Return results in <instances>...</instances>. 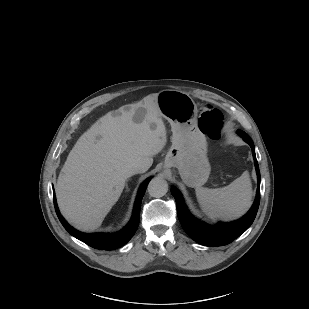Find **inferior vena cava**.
I'll use <instances>...</instances> for the list:
<instances>
[{
  "label": "inferior vena cava",
  "mask_w": 309,
  "mask_h": 309,
  "mask_svg": "<svg viewBox=\"0 0 309 309\" xmlns=\"http://www.w3.org/2000/svg\"><path fill=\"white\" fill-rule=\"evenodd\" d=\"M144 168L142 166H134L127 171V176H131L138 173H143Z\"/></svg>",
  "instance_id": "obj_1"
}]
</instances>
